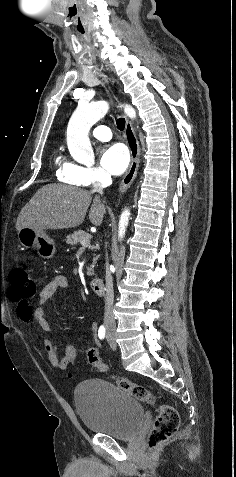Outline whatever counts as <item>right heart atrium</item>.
<instances>
[{
	"label": "right heart atrium",
	"mask_w": 236,
	"mask_h": 477,
	"mask_svg": "<svg viewBox=\"0 0 236 477\" xmlns=\"http://www.w3.org/2000/svg\"><path fill=\"white\" fill-rule=\"evenodd\" d=\"M60 176L64 182L80 187L98 185L109 178L107 172L101 167L83 166L75 163H65Z\"/></svg>",
	"instance_id": "1"
}]
</instances>
